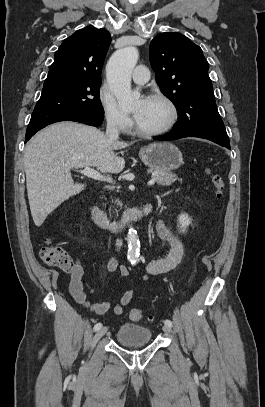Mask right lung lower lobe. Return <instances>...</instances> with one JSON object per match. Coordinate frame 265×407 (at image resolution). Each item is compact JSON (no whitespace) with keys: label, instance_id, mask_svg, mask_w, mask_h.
Returning a JSON list of instances; mask_svg holds the SVG:
<instances>
[{"label":"right lung lower lobe","instance_id":"right-lung-lower-lobe-1","mask_svg":"<svg viewBox=\"0 0 265 407\" xmlns=\"http://www.w3.org/2000/svg\"><path fill=\"white\" fill-rule=\"evenodd\" d=\"M59 121H76V122H81V123H85V124H88L91 126L98 127L103 122V116L90 114V113H80V114H74V115H70V116L61 118L55 122H59ZM55 122H53V123H55ZM44 127H42V128H44ZM42 128H40V129H42ZM40 129H37L30 133L27 132L25 140L28 141Z\"/></svg>","mask_w":265,"mask_h":407}]
</instances>
